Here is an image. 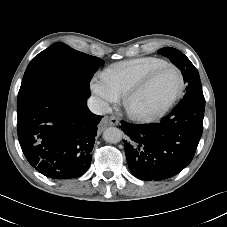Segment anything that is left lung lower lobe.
I'll return each mask as SVG.
<instances>
[{
	"label": "left lung lower lobe",
	"instance_id": "0a47b994",
	"mask_svg": "<svg viewBox=\"0 0 227 227\" xmlns=\"http://www.w3.org/2000/svg\"><path fill=\"white\" fill-rule=\"evenodd\" d=\"M205 105H177L160 123L122 121L128 136L125 153L131 173L141 180H164L178 174L193 159L203 131Z\"/></svg>",
	"mask_w": 227,
	"mask_h": 227
}]
</instances>
